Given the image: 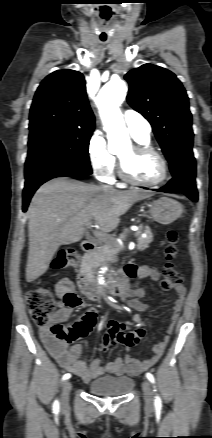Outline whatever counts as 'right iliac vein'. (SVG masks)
<instances>
[{
    "label": "right iliac vein",
    "instance_id": "1",
    "mask_svg": "<svg viewBox=\"0 0 212 438\" xmlns=\"http://www.w3.org/2000/svg\"><path fill=\"white\" fill-rule=\"evenodd\" d=\"M71 388H72V385H71L70 381H65L63 383L62 394H61V399H60L61 407L63 409L68 407L69 394H70Z\"/></svg>",
    "mask_w": 212,
    "mask_h": 438
}]
</instances>
